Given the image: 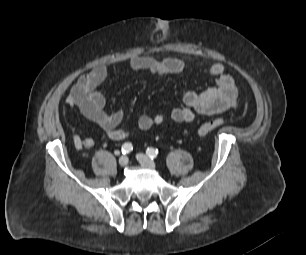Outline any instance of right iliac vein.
<instances>
[{
    "label": "right iliac vein",
    "instance_id": "right-iliac-vein-1",
    "mask_svg": "<svg viewBox=\"0 0 306 255\" xmlns=\"http://www.w3.org/2000/svg\"><path fill=\"white\" fill-rule=\"evenodd\" d=\"M128 161L129 160L127 156H121L118 162L121 167H125L128 164Z\"/></svg>",
    "mask_w": 306,
    "mask_h": 255
}]
</instances>
